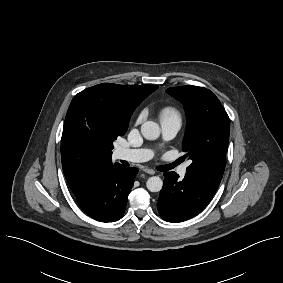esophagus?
<instances>
[{"mask_svg": "<svg viewBox=\"0 0 283 283\" xmlns=\"http://www.w3.org/2000/svg\"><path fill=\"white\" fill-rule=\"evenodd\" d=\"M143 171L147 174L154 175L155 171L151 168H144Z\"/></svg>", "mask_w": 283, "mask_h": 283, "instance_id": "esophagus-1", "label": "esophagus"}]
</instances>
